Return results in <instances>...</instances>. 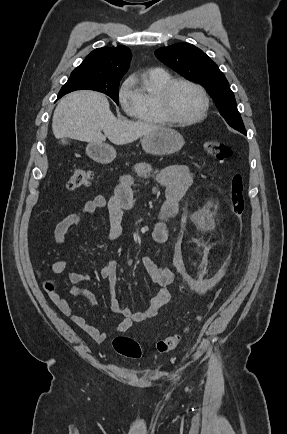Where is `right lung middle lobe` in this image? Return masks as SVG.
Wrapping results in <instances>:
<instances>
[{
	"label": "right lung middle lobe",
	"instance_id": "right-lung-middle-lobe-1",
	"mask_svg": "<svg viewBox=\"0 0 287 434\" xmlns=\"http://www.w3.org/2000/svg\"><path fill=\"white\" fill-rule=\"evenodd\" d=\"M120 79L121 78L110 79L99 76H87L78 73H71L67 83L62 86L58 94V99L69 92L88 89L102 92L111 97L118 104V87Z\"/></svg>",
	"mask_w": 287,
	"mask_h": 434
}]
</instances>
